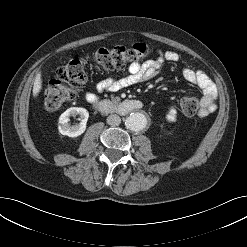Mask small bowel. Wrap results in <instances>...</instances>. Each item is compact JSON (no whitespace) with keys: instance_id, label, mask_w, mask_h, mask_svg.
<instances>
[{"instance_id":"1","label":"small bowel","mask_w":247,"mask_h":247,"mask_svg":"<svg viewBox=\"0 0 247 247\" xmlns=\"http://www.w3.org/2000/svg\"><path fill=\"white\" fill-rule=\"evenodd\" d=\"M179 60V54L175 51H159L158 56L154 60L144 63L133 62L128 73L120 78H107L97 84L95 92H87L85 99L94 102L100 98L104 92H116L138 83L147 82L155 79L159 73L162 64L165 61L176 62ZM184 79L200 89L202 93L199 116L206 117L212 113L216 106L217 89L208 75L198 69L184 67L182 69Z\"/></svg>"}]
</instances>
